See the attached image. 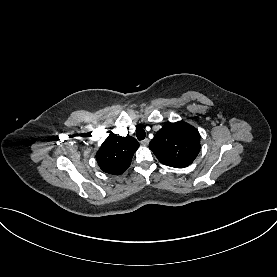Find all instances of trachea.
I'll return each instance as SVG.
<instances>
[{
    "label": "trachea",
    "instance_id": "3493384b",
    "mask_svg": "<svg viewBox=\"0 0 277 277\" xmlns=\"http://www.w3.org/2000/svg\"><path fill=\"white\" fill-rule=\"evenodd\" d=\"M145 136H146V132L144 129H142V128L137 129L136 137L138 140H143L145 138Z\"/></svg>",
    "mask_w": 277,
    "mask_h": 277
}]
</instances>
